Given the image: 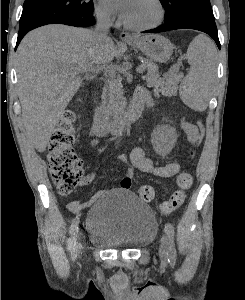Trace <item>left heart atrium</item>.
<instances>
[{"instance_id":"left-heart-atrium-1","label":"left heart atrium","mask_w":245,"mask_h":300,"mask_svg":"<svg viewBox=\"0 0 245 300\" xmlns=\"http://www.w3.org/2000/svg\"><path fill=\"white\" fill-rule=\"evenodd\" d=\"M106 1L113 2L120 5L122 7L120 11V16L122 19H125L126 11L131 0H106Z\"/></svg>"}]
</instances>
